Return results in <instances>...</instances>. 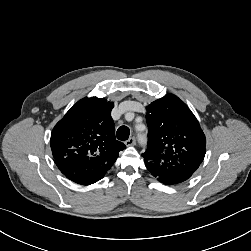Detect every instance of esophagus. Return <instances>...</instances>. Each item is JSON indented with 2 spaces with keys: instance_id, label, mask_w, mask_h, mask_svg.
<instances>
[{
  "instance_id": "obj_1",
  "label": "esophagus",
  "mask_w": 251,
  "mask_h": 251,
  "mask_svg": "<svg viewBox=\"0 0 251 251\" xmlns=\"http://www.w3.org/2000/svg\"><path fill=\"white\" fill-rule=\"evenodd\" d=\"M136 144V138L130 137L128 140L125 141L126 146H133Z\"/></svg>"
}]
</instances>
